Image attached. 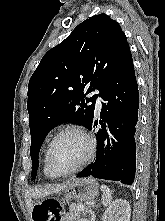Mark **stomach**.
Wrapping results in <instances>:
<instances>
[{"mask_svg":"<svg viewBox=\"0 0 165 221\" xmlns=\"http://www.w3.org/2000/svg\"><path fill=\"white\" fill-rule=\"evenodd\" d=\"M99 192L95 179L79 178L66 183L59 192L65 200H36L31 217H69L70 205L94 199ZM34 221H67V218H34Z\"/></svg>","mask_w":165,"mask_h":221,"instance_id":"obj_1","label":"stomach"}]
</instances>
